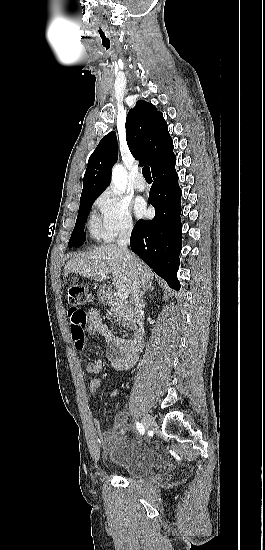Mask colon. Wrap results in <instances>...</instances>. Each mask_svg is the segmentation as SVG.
I'll list each match as a JSON object with an SVG mask.
<instances>
[{"mask_svg": "<svg viewBox=\"0 0 265 550\" xmlns=\"http://www.w3.org/2000/svg\"><path fill=\"white\" fill-rule=\"evenodd\" d=\"M67 300L70 306L69 318L73 337L76 339L82 336L83 327L86 322V314L83 307L91 301V294L83 284H69L67 286Z\"/></svg>", "mask_w": 265, "mask_h": 550, "instance_id": "obj_1", "label": "colon"}]
</instances>
